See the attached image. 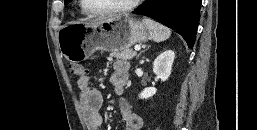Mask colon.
I'll return each mask as SVG.
<instances>
[{
	"mask_svg": "<svg viewBox=\"0 0 257 130\" xmlns=\"http://www.w3.org/2000/svg\"><path fill=\"white\" fill-rule=\"evenodd\" d=\"M68 67L70 72L78 78H82L86 75V69L78 63H69Z\"/></svg>",
	"mask_w": 257,
	"mask_h": 130,
	"instance_id": "1",
	"label": "colon"
}]
</instances>
